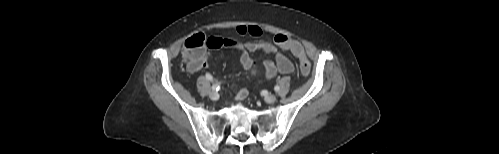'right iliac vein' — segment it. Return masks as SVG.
Returning <instances> with one entry per match:
<instances>
[{"label": "right iliac vein", "mask_w": 499, "mask_h": 154, "mask_svg": "<svg viewBox=\"0 0 499 154\" xmlns=\"http://www.w3.org/2000/svg\"><path fill=\"white\" fill-rule=\"evenodd\" d=\"M209 97L211 100L216 101L219 99V94L217 92L213 91L209 94Z\"/></svg>", "instance_id": "right-iliac-vein-1"}]
</instances>
